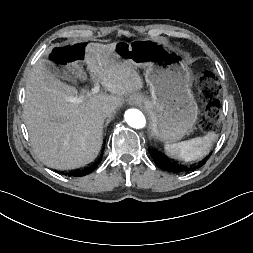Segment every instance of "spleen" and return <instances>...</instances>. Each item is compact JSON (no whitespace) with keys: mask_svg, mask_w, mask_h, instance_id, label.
Here are the masks:
<instances>
[{"mask_svg":"<svg viewBox=\"0 0 253 253\" xmlns=\"http://www.w3.org/2000/svg\"><path fill=\"white\" fill-rule=\"evenodd\" d=\"M216 139L214 132H209L204 137H196L179 143L165 144V153L172 158L186 162L196 161L205 157Z\"/></svg>","mask_w":253,"mask_h":253,"instance_id":"1","label":"spleen"}]
</instances>
